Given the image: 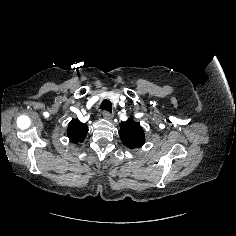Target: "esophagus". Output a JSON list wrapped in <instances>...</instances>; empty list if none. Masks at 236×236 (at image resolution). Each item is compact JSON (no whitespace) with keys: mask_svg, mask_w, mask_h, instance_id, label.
Listing matches in <instances>:
<instances>
[{"mask_svg":"<svg viewBox=\"0 0 236 236\" xmlns=\"http://www.w3.org/2000/svg\"><path fill=\"white\" fill-rule=\"evenodd\" d=\"M102 114H103V117L107 120H111L113 117L112 113H110L108 111H104Z\"/></svg>","mask_w":236,"mask_h":236,"instance_id":"esophagus-1","label":"esophagus"}]
</instances>
